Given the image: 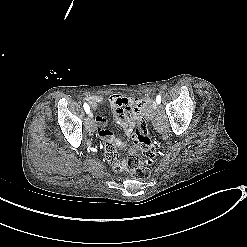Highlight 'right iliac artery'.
I'll use <instances>...</instances> for the list:
<instances>
[{"label": "right iliac artery", "instance_id": "obj_1", "mask_svg": "<svg viewBox=\"0 0 247 247\" xmlns=\"http://www.w3.org/2000/svg\"><path fill=\"white\" fill-rule=\"evenodd\" d=\"M84 109H85L86 113H89L90 107L87 103H84Z\"/></svg>", "mask_w": 247, "mask_h": 247}]
</instances>
